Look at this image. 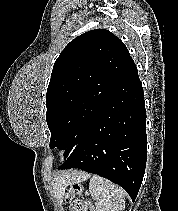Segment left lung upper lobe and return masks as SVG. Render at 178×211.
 I'll return each mask as SVG.
<instances>
[{
	"mask_svg": "<svg viewBox=\"0 0 178 211\" xmlns=\"http://www.w3.org/2000/svg\"><path fill=\"white\" fill-rule=\"evenodd\" d=\"M131 61L126 46L108 30L88 31L64 48L46 94L50 148H67V158L100 117Z\"/></svg>",
	"mask_w": 178,
	"mask_h": 211,
	"instance_id": "left-lung-upper-lobe-1",
	"label": "left lung upper lobe"
}]
</instances>
